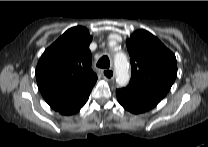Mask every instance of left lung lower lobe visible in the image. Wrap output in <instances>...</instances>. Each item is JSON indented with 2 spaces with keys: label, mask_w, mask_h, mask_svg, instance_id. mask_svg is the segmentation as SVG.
I'll use <instances>...</instances> for the list:
<instances>
[{
  "label": "left lung lower lobe",
  "mask_w": 208,
  "mask_h": 147,
  "mask_svg": "<svg viewBox=\"0 0 208 147\" xmlns=\"http://www.w3.org/2000/svg\"><path fill=\"white\" fill-rule=\"evenodd\" d=\"M118 102L129 112L138 114L146 112L155 107L161 98L127 86L126 88L116 90Z\"/></svg>",
  "instance_id": "obj_1"
}]
</instances>
